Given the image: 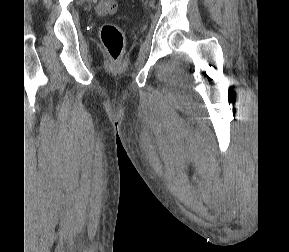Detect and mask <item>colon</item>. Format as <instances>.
<instances>
[{
	"mask_svg": "<svg viewBox=\"0 0 289 252\" xmlns=\"http://www.w3.org/2000/svg\"><path fill=\"white\" fill-rule=\"evenodd\" d=\"M116 9L115 0H99L97 4V12L101 15L113 14ZM100 38L111 62L119 63L125 45V36L121 28L112 23L103 24L100 28Z\"/></svg>",
	"mask_w": 289,
	"mask_h": 252,
	"instance_id": "obj_1",
	"label": "colon"
}]
</instances>
